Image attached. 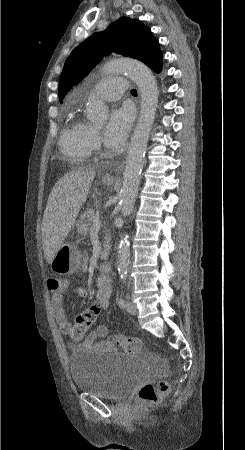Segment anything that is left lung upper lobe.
<instances>
[{
  "label": "left lung upper lobe",
  "instance_id": "1",
  "mask_svg": "<svg viewBox=\"0 0 245 450\" xmlns=\"http://www.w3.org/2000/svg\"><path fill=\"white\" fill-rule=\"evenodd\" d=\"M110 52L140 60L152 69L162 64L159 43L151 30L139 20L121 17L71 52L60 77V102L73 85L78 84Z\"/></svg>",
  "mask_w": 245,
  "mask_h": 450
}]
</instances>
